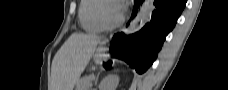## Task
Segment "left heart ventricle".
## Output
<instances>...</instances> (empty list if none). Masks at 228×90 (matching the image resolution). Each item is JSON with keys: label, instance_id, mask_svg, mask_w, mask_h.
<instances>
[{"label": "left heart ventricle", "instance_id": "b2bd125f", "mask_svg": "<svg viewBox=\"0 0 228 90\" xmlns=\"http://www.w3.org/2000/svg\"><path fill=\"white\" fill-rule=\"evenodd\" d=\"M101 13L107 23L114 22L121 14L117 5L113 3L105 4L102 8Z\"/></svg>", "mask_w": 228, "mask_h": 90}]
</instances>
